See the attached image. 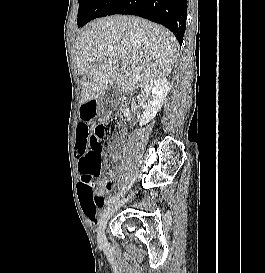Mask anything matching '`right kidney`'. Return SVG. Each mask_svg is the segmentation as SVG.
Here are the masks:
<instances>
[{
    "instance_id": "right-kidney-1",
    "label": "right kidney",
    "mask_w": 265,
    "mask_h": 273,
    "mask_svg": "<svg viewBox=\"0 0 265 273\" xmlns=\"http://www.w3.org/2000/svg\"><path fill=\"white\" fill-rule=\"evenodd\" d=\"M170 87L166 78H159L144 88V97L148 98V104L140 119V126L149 123L161 109L163 102L168 94ZM140 99V97H137ZM125 116L129 115V108L124 112Z\"/></svg>"
}]
</instances>
